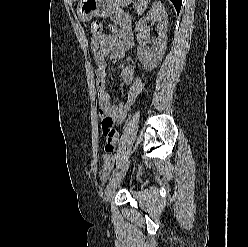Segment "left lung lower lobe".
Segmentation results:
<instances>
[{"label": "left lung lower lobe", "mask_w": 248, "mask_h": 247, "mask_svg": "<svg viewBox=\"0 0 248 247\" xmlns=\"http://www.w3.org/2000/svg\"><path fill=\"white\" fill-rule=\"evenodd\" d=\"M171 2L174 4L177 13H179L181 9L182 0H171Z\"/></svg>", "instance_id": "left-lung-lower-lobe-1"}]
</instances>
